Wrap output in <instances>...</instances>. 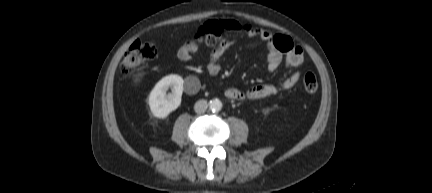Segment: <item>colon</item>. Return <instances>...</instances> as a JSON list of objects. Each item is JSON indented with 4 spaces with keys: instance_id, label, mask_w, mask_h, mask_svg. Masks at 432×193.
<instances>
[{
    "instance_id": "1",
    "label": "colon",
    "mask_w": 432,
    "mask_h": 193,
    "mask_svg": "<svg viewBox=\"0 0 432 193\" xmlns=\"http://www.w3.org/2000/svg\"><path fill=\"white\" fill-rule=\"evenodd\" d=\"M223 30L217 25L204 26L197 35V39L207 46H215L222 40ZM157 47L153 42L136 40L125 53L119 70L123 75L132 74L140 65L154 60L157 57ZM303 87L309 93L318 89L315 74L308 72L303 77Z\"/></svg>"
}]
</instances>
